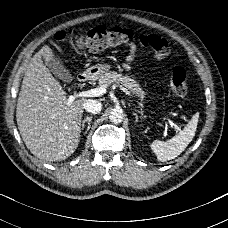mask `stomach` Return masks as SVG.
Listing matches in <instances>:
<instances>
[{
	"label": "stomach",
	"mask_w": 228,
	"mask_h": 228,
	"mask_svg": "<svg viewBox=\"0 0 228 228\" xmlns=\"http://www.w3.org/2000/svg\"><path fill=\"white\" fill-rule=\"evenodd\" d=\"M110 69L108 64H99L92 66L84 71L87 79L96 80Z\"/></svg>",
	"instance_id": "stomach-1"
}]
</instances>
